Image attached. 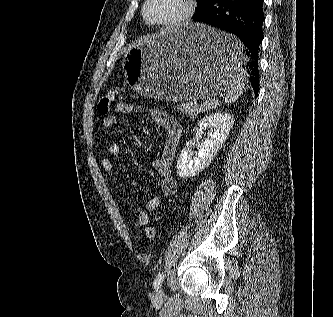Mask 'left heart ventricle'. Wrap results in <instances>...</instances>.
<instances>
[{"label": "left heart ventricle", "mask_w": 333, "mask_h": 317, "mask_svg": "<svg viewBox=\"0 0 333 317\" xmlns=\"http://www.w3.org/2000/svg\"><path fill=\"white\" fill-rule=\"evenodd\" d=\"M182 11L180 0H151L148 15L156 20H169Z\"/></svg>", "instance_id": "b2bd125f"}]
</instances>
